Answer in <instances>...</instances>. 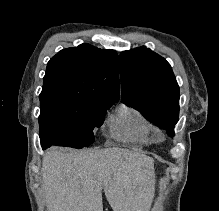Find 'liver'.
Here are the masks:
<instances>
[{"mask_svg":"<svg viewBox=\"0 0 219 211\" xmlns=\"http://www.w3.org/2000/svg\"><path fill=\"white\" fill-rule=\"evenodd\" d=\"M152 157L123 147L60 151L42 159L41 191L49 211H103L102 189L113 211H149Z\"/></svg>","mask_w":219,"mask_h":211,"instance_id":"obj_1","label":"liver"}]
</instances>
